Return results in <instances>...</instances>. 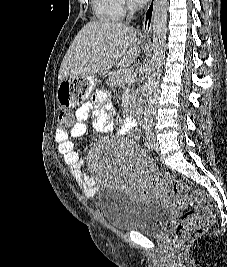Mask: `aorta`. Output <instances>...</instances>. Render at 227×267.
<instances>
[{
    "label": "aorta",
    "mask_w": 227,
    "mask_h": 267,
    "mask_svg": "<svg viewBox=\"0 0 227 267\" xmlns=\"http://www.w3.org/2000/svg\"><path fill=\"white\" fill-rule=\"evenodd\" d=\"M167 0H155L153 16V56L149 72L144 106V125L153 124L154 106L157 99L159 79L165 58L166 32H167Z\"/></svg>",
    "instance_id": "aorta-1"
}]
</instances>
